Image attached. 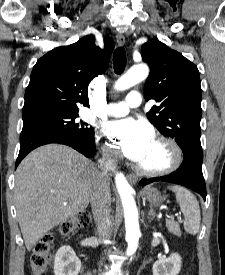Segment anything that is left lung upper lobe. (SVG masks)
<instances>
[{
  "label": "left lung upper lobe",
  "mask_w": 225,
  "mask_h": 275,
  "mask_svg": "<svg viewBox=\"0 0 225 275\" xmlns=\"http://www.w3.org/2000/svg\"><path fill=\"white\" fill-rule=\"evenodd\" d=\"M142 59L150 66L145 100L160 103L147 113L150 122L175 139L182 150L200 143L202 90L198 68L158 39L146 42Z\"/></svg>",
  "instance_id": "left-lung-upper-lobe-1"
}]
</instances>
